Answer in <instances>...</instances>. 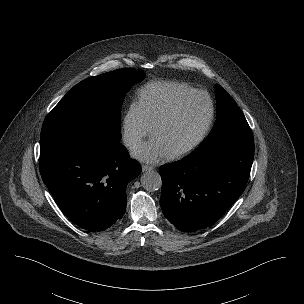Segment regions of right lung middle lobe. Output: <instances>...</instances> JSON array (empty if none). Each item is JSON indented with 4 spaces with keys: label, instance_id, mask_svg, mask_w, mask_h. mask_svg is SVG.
<instances>
[{
    "label": "right lung middle lobe",
    "instance_id": "1",
    "mask_svg": "<svg viewBox=\"0 0 304 304\" xmlns=\"http://www.w3.org/2000/svg\"><path fill=\"white\" fill-rule=\"evenodd\" d=\"M144 78L145 73L130 68L81 81L46 116L41 132L82 126L119 142L123 99L130 88Z\"/></svg>",
    "mask_w": 304,
    "mask_h": 304
}]
</instances>
